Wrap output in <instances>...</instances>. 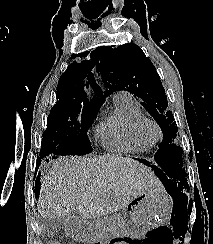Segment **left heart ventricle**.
<instances>
[{
    "label": "left heart ventricle",
    "instance_id": "b2bd125f",
    "mask_svg": "<svg viewBox=\"0 0 213 244\" xmlns=\"http://www.w3.org/2000/svg\"><path fill=\"white\" fill-rule=\"evenodd\" d=\"M148 133L153 135L154 134V130L152 128H148Z\"/></svg>",
    "mask_w": 213,
    "mask_h": 244
}]
</instances>
